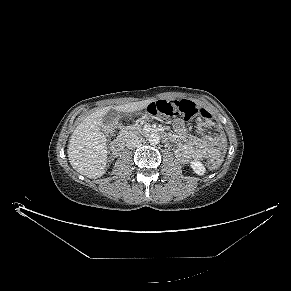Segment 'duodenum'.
I'll use <instances>...</instances> for the list:
<instances>
[{
    "mask_svg": "<svg viewBox=\"0 0 291 291\" xmlns=\"http://www.w3.org/2000/svg\"><path fill=\"white\" fill-rule=\"evenodd\" d=\"M127 141V137L125 136H120L117 139L114 140L112 143V151L114 154H119L121 151L124 149L125 144Z\"/></svg>",
    "mask_w": 291,
    "mask_h": 291,
    "instance_id": "410a0bca",
    "label": "duodenum"
}]
</instances>
